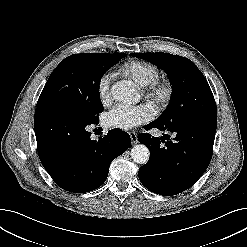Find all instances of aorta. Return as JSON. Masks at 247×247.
<instances>
[{
	"label": "aorta",
	"mask_w": 247,
	"mask_h": 247,
	"mask_svg": "<svg viewBox=\"0 0 247 247\" xmlns=\"http://www.w3.org/2000/svg\"><path fill=\"white\" fill-rule=\"evenodd\" d=\"M113 98L121 103H134L140 98L139 92L131 85L124 82H117L111 87ZM131 158L137 164H146L150 157L149 149L143 145H135L131 149Z\"/></svg>",
	"instance_id": "obj_1"
}]
</instances>
